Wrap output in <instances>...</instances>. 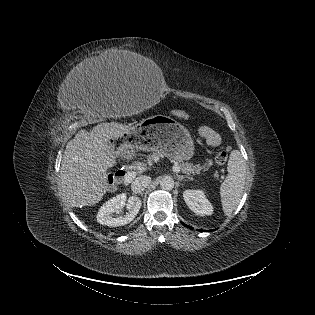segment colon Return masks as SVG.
<instances>
[{"label": "colon", "instance_id": "colon-1", "mask_svg": "<svg viewBox=\"0 0 315 315\" xmlns=\"http://www.w3.org/2000/svg\"><path fill=\"white\" fill-rule=\"evenodd\" d=\"M175 115L181 119H188L189 115L185 111L178 110L175 112ZM229 157V149L221 150L215 157V161L219 165H224Z\"/></svg>", "mask_w": 315, "mask_h": 315}]
</instances>
